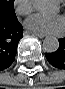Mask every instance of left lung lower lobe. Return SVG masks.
<instances>
[{
    "label": "left lung lower lobe",
    "instance_id": "left-lung-lower-lobe-1",
    "mask_svg": "<svg viewBox=\"0 0 65 89\" xmlns=\"http://www.w3.org/2000/svg\"><path fill=\"white\" fill-rule=\"evenodd\" d=\"M45 56L52 66L65 70V38L59 40V48L57 51L46 53Z\"/></svg>",
    "mask_w": 65,
    "mask_h": 89
}]
</instances>
